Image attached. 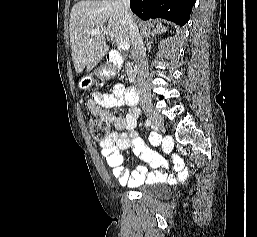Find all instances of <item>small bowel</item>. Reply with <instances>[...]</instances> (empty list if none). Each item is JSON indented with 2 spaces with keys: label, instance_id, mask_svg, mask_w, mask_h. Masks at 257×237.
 I'll list each match as a JSON object with an SVG mask.
<instances>
[{
  "label": "small bowel",
  "instance_id": "obj_1",
  "mask_svg": "<svg viewBox=\"0 0 257 237\" xmlns=\"http://www.w3.org/2000/svg\"><path fill=\"white\" fill-rule=\"evenodd\" d=\"M127 105L125 116H115L110 109ZM90 112L114 126L111 136L101 143V154L105 157L108 167L113 176L123 186H135L143 183L170 182L185 179L189 171L184 168L180 158L174 160L175 174L168 172V165L165 158L148 148L138 137L135 130L140 117V109L128 103L125 89L122 84H115L110 93L99 91L87 102ZM152 144L160 141L158 136H151ZM132 148L142 160L155 168L154 172H148L145 166L139 165L133 171H128L123 166V157L120 151ZM166 150L169 146L166 144Z\"/></svg>",
  "mask_w": 257,
  "mask_h": 237
}]
</instances>
